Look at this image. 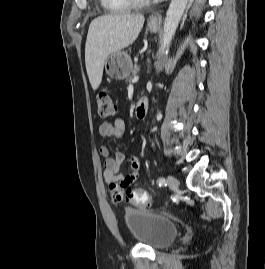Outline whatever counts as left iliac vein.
<instances>
[{
    "mask_svg": "<svg viewBox=\"0 0 265 269\" xmlns=\"http://www.w3.org/2000/svg\"><path fill=\"white\" fill-rule=\"evenodd\" d=\"M167 184L171 189H178L180 185L178 179L172 175L168 176Z\"/></svg>",
    "mask_w": 265,
    "mask_h": 269,
    "instance_id": "obj_1",
    "label": "left iliac vein"
}]
</instances>
